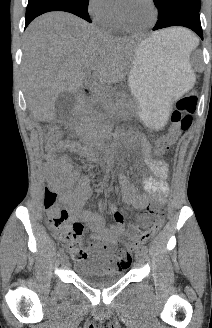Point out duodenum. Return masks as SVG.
I'll use <instances>...</instances> for the list:
<instances>
[{"mask_svg": "<svg viewBox=\"0 0 212 328\" xmlns=\"http://www.w3.org/2000/svg\"><path fill=\"white\" fill-rule=\"evenodd\" d=\"M82 95L84 98H91L92 97V91L88 87H84L82 89ZM79 111V107H77L74 111V113H77ZM87 155H92V151L87 150Z\"/></svg>", "mask_w": 212, "mask_h": 328, "instance_id": "obj_1", "label": "duodenum"}]
</instances>
